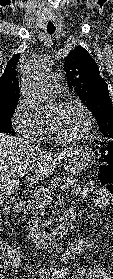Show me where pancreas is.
Here are the masks:
<instances>
[{
    "mask_svg": "<svg viewBox=\"0 0 113 279\" xmlns=\"http://www.w3.org/2000/svg\"><path fill=\"white\" fill-rule=\"evenodd\" d=\"M67 183L71 187L72 193L78 194L80 192L81 185L77 178L69 176ZM48 196H50L48 189H40L28 201L29 209L32 210L33 214L32 224L35 227H45L51 223V220L42 219V216L38 214V211L44 212L45 206L49 204L50 199L47 198Z\"/></svg>",
    "mask_w": 113,
    "mask_h": 279,
    "instance_id": "1",
    "label": "pancreas"
}]
</instances>
